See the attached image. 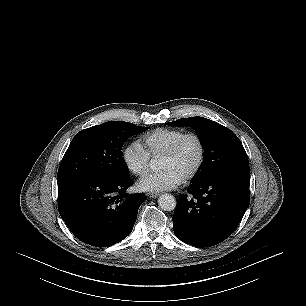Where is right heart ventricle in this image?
Masks as SVG:
<instances>
[{
    "label": "right heart ventricle",
    "mask_w": 306,
    "mask_h": 306,
    "mask_svg": "<svg viewBox=\"0 0 306 306\" xmlns=\"http://www.w3.org/2000/svg\"><path fill=\"white\" fill-rule=\"evenodd\" d=\"M183 134L180 129L157 128L143 135L141 144L150 156L160 157Z\"/></svg>",
    "instance_id": "right-heart-ventricle-1"
}]
</instances>
